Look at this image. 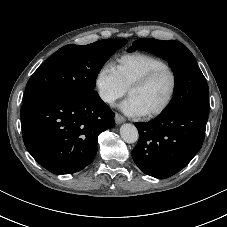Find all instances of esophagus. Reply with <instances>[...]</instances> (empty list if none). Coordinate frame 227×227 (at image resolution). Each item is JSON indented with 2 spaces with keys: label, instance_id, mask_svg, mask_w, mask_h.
<instances>
[{
  "label": "esophagus",
  "instance_id": "34e87169",
  "mask_svg": "<svg viewBox=\"0 0 227 227\" xmlns=\"http://www.w3.org/2000/svg\"><path fill=\"white\" fill-rule=\"evenodd\" d=\"M125 121H126V119L122 115H120L119 113L115 114V122H116V124H122Z\"/></svg>",
  "mask_w": 227,
  "mask_h": 227
}]
</instances>
